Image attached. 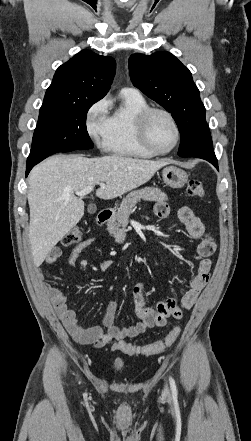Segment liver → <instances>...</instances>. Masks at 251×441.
I'll return each instance as SVG.
<instances>
[{
	"instance_id": "liver-1",
	"label": "liver",
	"mask_w": 251,
	"mask_h": 441,
	"mask_svg": "<svg viewBox=\"0 0 251 441\" xmlns=\"http://www.w3.org/2000/svg\"><path fill=\"white\" fill-rule=\"evenodd\" d=\"M168 160L152 161L120 155L87 158L52 156L29 175V240L33 261L40 266L54 246L81 220L84 201L75 193L105 182L96 195L113 199L147 181Z\"/></svg>"
}]
</instances>
